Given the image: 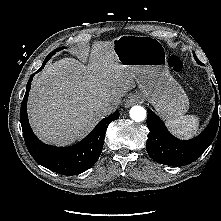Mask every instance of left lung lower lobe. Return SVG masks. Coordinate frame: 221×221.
<instances>
[{"mask_svg": "<svg viewBox=\"0 0 221 221\" xmlns=\"http://www.w3.org/2000/svg\"><path fill=\"white\" fill-rule=\"evenodd\" d=\"M196 61L200 63L198 59ZM219 95L221 104L220 89ZM147 126L150 132L146 142V149L152 159L165 165L177 167L190 164L198 159L208 148L216 132L218 130L219 132L221 131L217 94L216 107L209 125L199 136L192 140H179L171 135L162 120L150 109H148Z\"/></svg>", "mask_w": 221, "mask_h": 221, "instance_id": "left-lung-lower-lobe-1", "label": "left lung lower lobe"}]
</instances>
